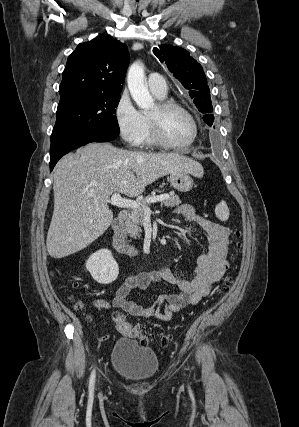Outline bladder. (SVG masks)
<instances>
[{"label":"bladder","instance_id":"bladder-1","mask_svg":"<svg viewBox=\"0 0 299 427\" xmlns=\"http://www.w3.org/2000/svg\"><path fill=\"white\" fill-rule=\"evenodd\" d=\"M112 363L120 376L134 382H145L155 376L159 358L151 348L136 340L122 338L113 346Z\"/></svg>","mask_w":299,"mask_h":427}]
</instances>
